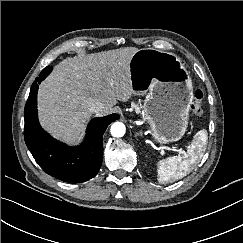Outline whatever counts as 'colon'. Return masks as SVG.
<instances>
[{
  "label": "colon",
  "mask_w": 243,
  "mask_h": 243,
  "mask_svg": "<svg viewBox=\"0 0 243 243\" xmlns=\"http://www.w3.org/2000/svg\"><path fill=\"white\" fill-rule=\"evenodd\" d=\"M204 94L202 90L197 89L193 94V103L191 105V112L193 114H199L202 111Z\"/></svg>",
  "instance_id": "obj_1"
}]
</instances>
